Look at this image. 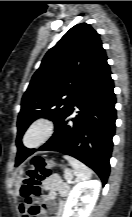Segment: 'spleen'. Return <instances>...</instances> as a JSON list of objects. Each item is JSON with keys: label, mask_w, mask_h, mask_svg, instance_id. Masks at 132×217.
Instances as JSON below:
<instances>
[{"label": "spleen", "mask_w": 132, "mask_h": 217, "mask_svg": "<svg viewBox=\"0 0 132 217\" xmlns=\"http://www.w3.org/2000/svg\"><path fill=\"white\" fill-rule=\"evenodd\" d=\"M64 158L70 163V165L75 170L77 176L76 179L78 182L85 181L91 178L92 171L85 164L68 155H65Z\"/></svg>", "instance_id": "3e777b00"}]
</instances>
